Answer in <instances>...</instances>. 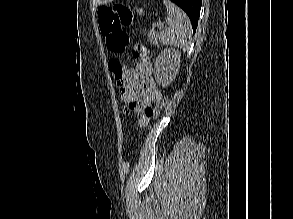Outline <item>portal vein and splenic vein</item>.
<instances>
[{
  "instance_id": "obj_1",
  "label": "portal vein and splenic vein",
  "mask_w": 293,
  "mask_h": 219,
  "mask_svg": "<svg viewBox=\"0 0 293 219\" xmlns=\"http://www.w3.org/2000/svg\"><path fill=\"white\" fill-rule=\"evenodd\" d=\"M164 26H165L164 23L156 22V23L153 24L152 30L155 31L156 28L157 29H162V28H164Z\"/></svg>"
}]
</instances>
